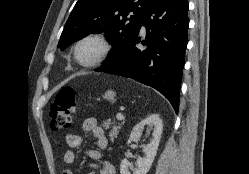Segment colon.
I'll use <instances>...</instances> for the list:
<instances>
[{"mask_svg":"<svg viewBox=\"0 0 249 174\" xmlns=\"http://www.w3.org/2000/svg\"><path fill=\"white\" fill-rule=\"evenodd\" d=\"M77 91L72 87L62 88L56 95L50 110V127L54 131L70 127L76 107Z\"/></svg>","mask_w":249,"mask_h":174,"instance_id":"1","label":"colon"}]
</instances>
